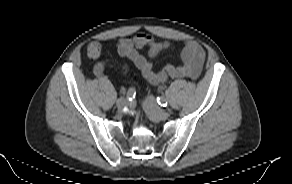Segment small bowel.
Listing matches in <instances>:
<instances>
[{
	"label": "small bowel",
	"mask_w": 292,
	"mask_h": 184,
	"mask_svg": "<svg viewBox=\"0 0 292 184\" xmlns=\"http://www.w3.org/2000/svg\"><path fill=\"white\" fill-rule=\"evenodd\" d=\"M148 47V56L139 52L140 49ZM170 47L168 42L155 41L151 36L145 33H138L134 36H124L118 40L117 52L120 57L130 61L153 85H160L167 81L168 78H191L197 79L204 60V49L194 41L185 43L181 59L182 64H168L162 70L155 71L151 58L156 57L161 52ZM105 63L99 62L94 66V74L101 77L105 71Z\"/></svg>",
	"instance_id": "c3829d8e"
}]
</instances>
